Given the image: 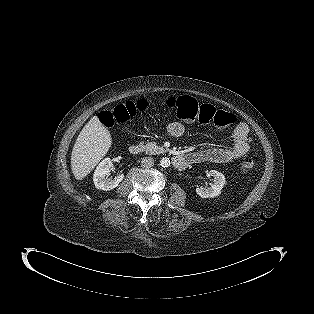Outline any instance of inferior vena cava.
Returning a JSON list of instances; mask_svg holds the SVG:
<instances>
[{
	"mask_svg": "<svg viewBox=\"0 0 314 314\" xmlns=\"http://www.w3.org/2000/svg\"><path fill=\"white\" fill-rule=\"evenodd\" d=\"M141 166L143 168H151L154 166V160L151 157H144L141 160Z\"/></svg>",
	"mask_w": 314,
	"mask_h": 314,
	"instance_id": "1",
	"label": "inferior vena cava"
}]
</instances>
